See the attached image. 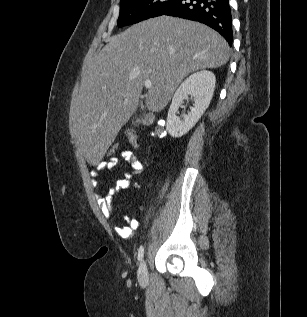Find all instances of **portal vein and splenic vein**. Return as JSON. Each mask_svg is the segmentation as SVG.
I'll list each match as a JSON object with an SVG mask.
<instances>
[{"label":"portal vein and splenic vein","mask_w":307,"mask_h":317,"mask_svg":"<svg viewBox=\"0 0 307 317\" xmlns=\"http://www.w3.org/2000/svg\"><path fill=\"white\" fill-rule=\"evenodd\" d=\"M144 85L149 89L152 86V82L150 80H145Z\"/></svg>","instance_id":"obj_1"}]
</instances>
